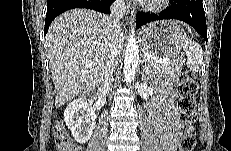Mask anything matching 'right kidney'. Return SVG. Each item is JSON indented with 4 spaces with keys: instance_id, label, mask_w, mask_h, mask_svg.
<instances>
[{
    "instance_id": "ca27d5eb",
    "label": "right kidney",
    "mask_w": 231,
    "mask_h": 151,
    "mask_svg": "<svg viewBox=\"0 0 231 151\" xmlns=\"http://www.w3.org/2000/svg\"><path fill=\"white\" fill-rule=\"evenodd\" d=\"M64 120L76 142L84 144L95 129L96 114L85 98L80 97L68 104L64 110Z\"/></svg>"
}]
</instances>
